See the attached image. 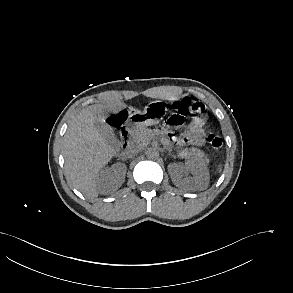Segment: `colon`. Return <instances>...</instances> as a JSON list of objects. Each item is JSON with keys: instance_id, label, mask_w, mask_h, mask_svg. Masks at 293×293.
Segmentation results:
<instances>
[{"instance_id": "1", "label": "colon", "mask_w": 293, "mask_h": 293, "mask_svg": "<svg viewBox=\"0 0 293 293\" xmlns=\"http://www.w3.org/2000/svg\"><path fill=\"white\" fill-rule=\"evenodd\" d=\"M172 113L168 116L163 124V128L172 136L178 139H183V136L174 135V130L183 125L189 117H204L205 106L200 101L192 100L189 97H184L175 100L172 105ZM124 119L123 113L114 116V124H120ZM207 141L215 152H220L222 149V139L216 133H210L207 136Z\"/></svg>"}]
</instances>
